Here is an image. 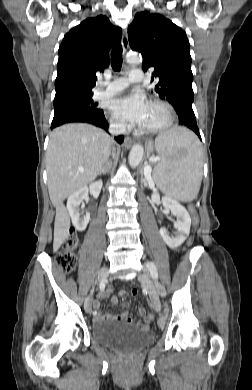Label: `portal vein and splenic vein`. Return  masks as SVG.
<instances>
[{"instance_id": "18ae733b", "label": "portal vein and splenic vein", "mask_w": 252, "mask_h": 390, "mask_svg": "<svg viewBox=\"0 0 252 390\" xmlns=\"http://www.w3.org/2000/svg\"><path fill=\"white\" fill-rule=\"evenodd\" d=\"M149 161H151V162H157V161H158V158H157V157H151V158L149 159ZM144 173H145V175H146L149 179H151V178H150V173H151V167H150V166H146V167L144 168Z\"/></svg>"}]
</instances>
